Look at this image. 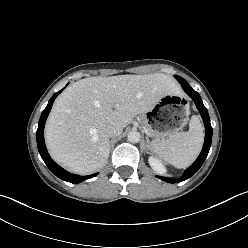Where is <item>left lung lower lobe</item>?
I'll list each match as a JSON object with an SVG mask.
<instances>
[{"label": "left lung lower lobe", "mask_w": 248, "mask_h": 248, "mask_svg": "<svg viewBox=\"0 0 248 248\" xmlns=\"http://www.w3.org/2000/svg\"><path fill=\"white\" fill-rule=\"evenodd\" d=\"M182 88L184 89V91L193 99V101L195 102V105L197 107V109L199 110L204 125H205V141H204V145H203V149L199 155V157L196 159V161L189 167L186 169L183 177L181 178L180 181H184L188 178H190L192 175H194L197 170L202 166L203 162L205 161L210 146H211V141H212V127L210 124V118L208 115V111L205 108L202 99L200 97V95L194 91L189 84H181ZM158 178L169 182V183H174L175 180H173L172 178H167V177H160L158 176Z\"/></svg>", "instance_id": "obj_1"}]
</instances>
